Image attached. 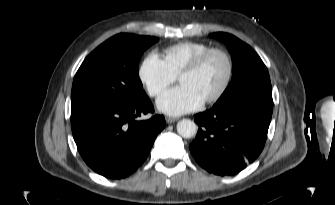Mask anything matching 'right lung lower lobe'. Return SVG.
Here are the masks:
<instances>
[{"instance_id":"right-lung-lower-lobe-1","label":"right lung lower lobe","mask_w":335,"mask_h":205,"mask_svg":"<svg viewBox=\"0 0 335 205\" xmlns=\"http://www.w3.org/2000/svg\"><path fill=\"white\" fill-rule=\"evenodd\" d=\"M154 108L147 96L130 104H88L71 108L74 141L84 161L95 172L111 179L133 173L147 158L163 115L138 120Z\"/></svg>"}]
</instances>
